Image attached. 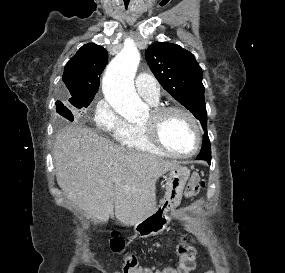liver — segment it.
Here are the masks:
<instances>
[{
	"instance_id": "1",
	"label": "liver",
	"mask_w": 285,
	"mask_h": 273,
	"mask_svg": "<svg viewBox=\"0 0 285 273\" xmlns=\"http://www.w3.org/2000/svg\"><path fill=\"white\" fill-rule=\"evenodd\" d=\"M53 157L57 183L68 200L95 223H107L115 215L127 226L154 213L157 179L179 166L76 124L56 135Z\"/></svg>"
}]
</instances>
